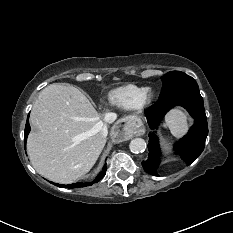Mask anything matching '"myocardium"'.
I'll use <instances>...</instances> for the list:
<instances>
[{"instance_id":"f54148a6","label":"myocardium","mask_w":233,"mask_h":233,"mask_svg":"<svg viewBox=\"0 0 233 233\" xmlns=\"http://www.w3.org/2000/svg\"><path fill=\"white\" fill-rule=\"evenodd\" d=\"M155 98V92L151 88H147L143 100H142V105H146L151 103Z\"/></svg>"}]
</instances>
